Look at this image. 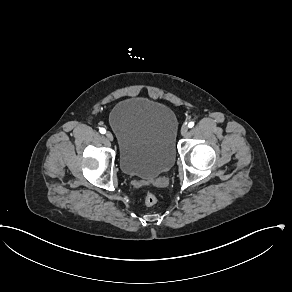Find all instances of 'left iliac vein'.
<instances>
[{"label":"left iliac vein","mask_w":292,"mask_h":292,"mask_svg":"<svg viewBox=\"0 0 292 292\" xmlns=\"http://www.w3.org/2000/svg\"><path fill=\"white\" fill-rule=\"evenodd\" d=\"M188 130H189L188 126L187 125H183L182 128H181V131H180L181 135L182 136H186L187 133H188Z\"/></svg>","instance_id":"4c4485c4"}]
</instances>
